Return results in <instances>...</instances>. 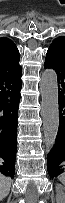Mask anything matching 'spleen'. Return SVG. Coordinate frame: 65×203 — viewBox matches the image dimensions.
I'll return each instance as SVG.
<instances>
[{"label":"spleen","mask_w":65,"mask_h":203,"mask_svg":"<svg viewBox=\"0 0 65 203\" xmlns=\"http://www.w3.org/2000/svg\"><path fill=\"white\" fill-rule=\"evenodd\" d=\"M58 179L60 180V182L65 183V174L62 173L60 176H58Z\"/></svg>","instance_id":"1"}]
</instances>
